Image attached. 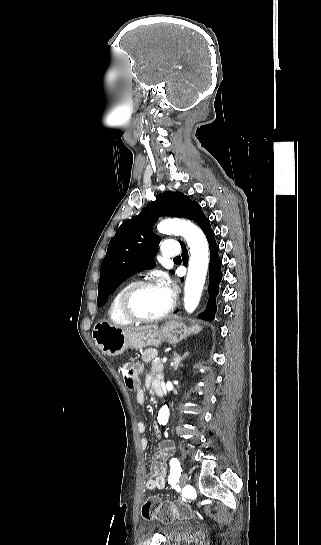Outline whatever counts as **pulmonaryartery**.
<instances>
[{
  "mask_svg": "<svg viewBox=\"0 0 321 545\" xmlns=\"http://www.w3.org/2000/svg\"><path fill=\"white\" fill-rule=\"evenodd\" d=\"M162 247L165 250L162 257L164 260L169 261L172 257H178L181 245L179 241H167Z\"/></svg>",
  "mask_w": 321,
  "mask_h": 545,
  "instance_id": "e3ab8cb5",
  "label": "pulmonary artery"
}]
</instances>
